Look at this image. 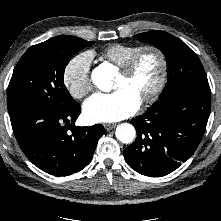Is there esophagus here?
<instances>
[{
  "mask_svg": "<svg viewBox=\"0 0 221 221\" xmlns=\"http://www.w3.org/2000/svg\"><path fill=\"white\" fill-rule=\"evenodd\" d=\"M104 128H105L107 131H110V130H112V129L115 128V125H114V124L105 123V124H104Z\"/></svg>",
  "mask_w": 221,
  "mask_h": 221,
  "instance_id": "1",
  "label": "esophagus"
}]
</instances>
